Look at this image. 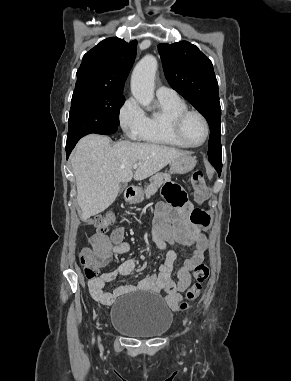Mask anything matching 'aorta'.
Returning a JSON list of instances; mask_svg holds the SVG:
<instances>
[{
    "mask_svg": "<svg viewBox=\"0 0 291 381\" xmlns=\"http://www.w3.org/2000/svg\"><path fill=\"white\" fill-rule=\"evenodd\" d=\"M157 67L156 58L146 55L137 63L131 76V93L144 107H148L154 98V79Z\"/></svg>",
    "mask_w": 291,
    "mask_h": 381,
    "instance_id": "1",
    "label": "aorta"
}]
</instances>
